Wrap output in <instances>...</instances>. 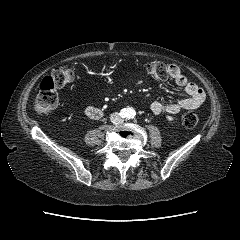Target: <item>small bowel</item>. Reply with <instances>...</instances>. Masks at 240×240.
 <instances>
[{
	"instance_id": "obj_1",
	"label": "small bowel",
	"mask_w": 240,
	"mask_h": 240,
	"mask_svg": "<svg viewBox=\"0 0 240 240\" xmlns=\"http://www.w3.org/2000/svg\"><path fill=\"white\" fill-rule=\"evenodd\" d=\"M168 77L183 89L186 98L174 102L154 101L150 110L154 115L178 114L183 110H194L200 107L205 101V92L197 84L188 81L176 65H169Z\"/></svg>"
}]
</instances>
